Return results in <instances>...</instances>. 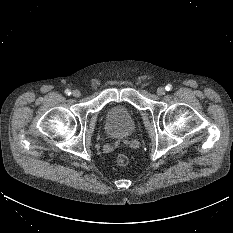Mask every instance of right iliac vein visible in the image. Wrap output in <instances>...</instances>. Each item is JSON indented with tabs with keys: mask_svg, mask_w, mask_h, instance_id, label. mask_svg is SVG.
<instances>
[{
	"mask_svg": "<svg viewBox=\"0 0 233 233\" xmlns=\"http://www.w3.org/2000/svg\"><path fill=\"white\" fill-rule=\"evenodd\" d=\"M72 95L74 97H79L81 95V92L79 90L75 89V90H73Z\"/></svg>",
	"mask_w": 233,
	"mask_h": 233,
	"instance_id": "1",
	"label": "right iliac vein"
}]
</instances>
